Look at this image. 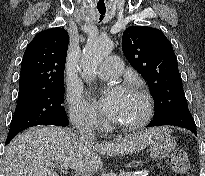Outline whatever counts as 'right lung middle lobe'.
<instances>
[{"label": "right lung middle lobe", "mask_w": 205, "mask_h": 176, "mask_svg": "<svg viewBox=\"0 0 205 176\" xmlns=\"http://www.w3.org/2000/svg\"><path fill=\"white\" fill-rule=\"evenodd\" d=\"M63 99L64 84L19 94L6 142L32 126H67L69 122L61 105Z\"/></svg>", "instance_id": "dd1d6c3e"}]
</instances>
